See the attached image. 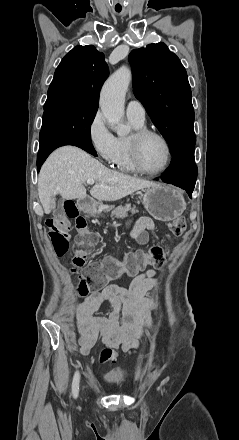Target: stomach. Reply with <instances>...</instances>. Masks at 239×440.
Segmentation results:
<instances>
[{"mask_svg": "<svg viewBox=\"0 0 239 440\" xmlns=\"http://www.w3.org/2000/svg\"><path fill=\"white\" fill-rule=\"evenodd\" d=\"M143 204L145 210L149 212L152 218L160 220V222H172L179 218L186 210V202L177 188L170 186H159V188H148L143 196ZM79 208L84 214L96 216L97 202H80Z\"/></svg>", "mask_w": 239, "mask_h": 440, "instance_id": "stomach-1", "label": "stomach"}]
</instances>
